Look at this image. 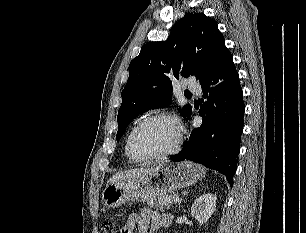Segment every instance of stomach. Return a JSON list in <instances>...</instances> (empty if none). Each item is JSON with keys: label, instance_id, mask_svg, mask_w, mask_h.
Instances as JSON below:
<instances>
[{"label": "stomach", "instance_id": "0dacf381", "mask_svg": "<svg viewBox=\"0 0 306 233\" xmlns=\"http://www.w3.org/2000/svg\"><path fill=\"white\" fill-rule=\"evenodd\" d=\"M203 166L190 161L178 162L134 178L107 184L102 203L116 208L129 201L147 200L191 186L205 177Z\"/></svg>", "mask_w": 306, "mask_h": 233}]
</instances>
